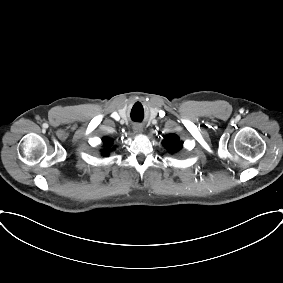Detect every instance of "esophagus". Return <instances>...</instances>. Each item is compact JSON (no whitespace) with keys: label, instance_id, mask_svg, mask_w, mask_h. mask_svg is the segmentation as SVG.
I'll return each instance as SVG.
<instances>
[{"label":"esophagus","instance_id":"34e87169","mask_svg":"<svg viewBox=\"0 0 283 283\" xmlns=\"http://www.w3.org/2000/svg\"><path fill=\"white\" fill-rule=\"evenodd\" d=\"M133 129H134V132H135V133H141V132H142V127L139 126V125L134 126Z\"/></svg>","mask_w":283,"mask_h":283}]
</instances>
